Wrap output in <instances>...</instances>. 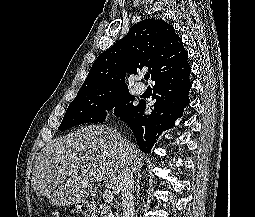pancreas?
Returning a JSON list of instances; mask_svg holds the SVG:
<instances>
[{
  "label": "pancreas",
  "instance_id": "1",
  "mask_svg": "<svg viewBox=\"0 0 255 217\" xmlns=\"http://www.w3.org/2000/svg\"><path fill=\"white\" fill-rule=\"evenodd\" d=\"M100 217H114L111 210L107 207H101V210L97 211Z\"/></svg>",
  "mask_w": 255,
  "mask_h": 217
}]
</instances>
